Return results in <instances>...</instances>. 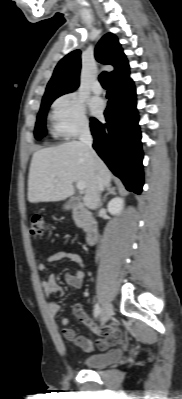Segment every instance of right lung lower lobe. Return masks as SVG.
I'll return each mask as SVG.
<instances>
[{"label":"right lung lower lobe","instance_id":"98d812e1","mask_svg":"<svg viewBox=\"0 0 182 399\" xmlns=\"http://www.w3.org/2000/svg\"><path fill=\"white\" fill-rule=\"evenodd\" d=\"M106 122L91 118L93 148L126 189L140 194L143 186L141 134L136 92L129 74L110 81Z\"/></svg>","mask_w":182,"mask_h":399}]
</instances>
